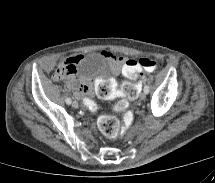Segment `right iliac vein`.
Wrapping results in <instances>:
<instances>
[{
  "instance_id": "1",
  "label": "right iliac vein",
  "mask_w": 215,
  "mask_h": 183,
  "mask_svg": "<svg viewBox=\"0 0 215 183\" xmlns=\"http://www.w3.org/2000/svg\"><path fill=\"white\" fill-rule=\"evenodd\" d=\"M78 106H79V104H78L77 101H74V102L72 103V107H73V108H78Z\"/></svg>"
}]
</instances>
